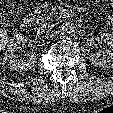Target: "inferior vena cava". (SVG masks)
<instances>
[{
	"instance_id": "602c4592",
	"label": "inferior vena cava",
	"mask_w": 113,
	"mask_h": 113,
	"mask_svg": "<svg viewBox=\"0 0 113 113\" xmlns=\"http://www.w3.org/2000/svg\"><path fill=\"white\" fill-rule=\"evenodd\" d=\"M54 27V24L52 22H46V23H42L39 27H38V32L39 33H47L50 30H52Z\"/></svg>"
}]
</instances>
